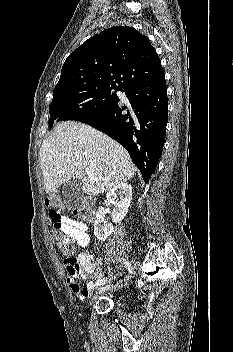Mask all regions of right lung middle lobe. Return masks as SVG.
<instances>
[{
	"mask_svg": "<svg viewBox=\"0 0 233 352\" xmlns=\"http://www.w3.org/2000/svg\"><path fill=\"white\" fill-rule=\"evenodd\" d=\"M123 88L115 85L86 86L59 93H53L49 106V126L59 121L74 120L100 112L116 103L117 91Z\"/></svg>",
	"mask_w": 233,
	"mask_h": 352,
	"instance_id": "dd1d6c3e",
	"label": "right lung middle lobe"
}]
</instances>
